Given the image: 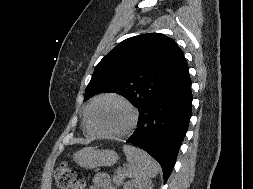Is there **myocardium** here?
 I'll use <instances>...</instances> for the list:
<instances>
[{
    "label": "myocardium",
    "instance_id": "1",
    "mask_svg": "<svg viewBox=\"0 0 253 189\" xmlns=\"http://www.w3.org/2000/svg\"><path fill=\"white\" fill-rule=\"evenodd\" d=\"M106 99H115V100L121 102L129 109V111L131 113V120H130L129 125L121 132H117V133L102 132L97 129V127L95 126V124L93 122L92 112H93L95 105L97 103H99L100 101L106 100ZM86 120H87V124H88L90 130L93 132V134L97 135L98 137L106 138V139H119V138H124V137L130 135L135 130V128L137 127V124H138V120H139V112L136 109V107L129 100H127L125 97H123L119 94H116V93H106V94L98 96L97 98H95L91 102V104L88 107L87 113H86Z\"/></svg>",
    "mask_w": 253,
    "mask_h": 189
}]
</instances>
